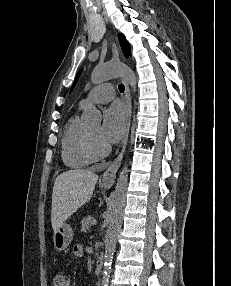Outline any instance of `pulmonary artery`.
Listing matches in <instances>:
<instances>
[{"mask_svg":"<svg viewBox=\"0 0 231 286\" xmlns=\"http://www.w3.org/2000/svg\"><path fill=\"white\" fill-rule=\"evenodd\" d=\"M115 96L114 87L110 83H104L89 92L86 98L80 101V106L84 107L88 103L105 104L110 102Z\"/></svg>","mask_w":231,"mask_h":286,"instance_id":"pulmonary-artery-1","label":"pulmonary artery"}]
</instances>
